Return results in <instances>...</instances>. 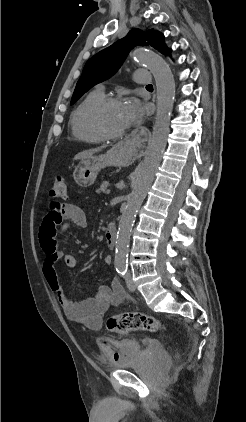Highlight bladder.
<instances>
[{"label": "bladder", "mask_w": 246, "mask_h": 422, "mask_svg": "<svg viewBox=\"0 0 246 422\" xmlns=\"http://www.w3.org/2000/svg\"><path fill=\"white\" fill-rule=\"evenodd\" d=\"M101 351L112 366L127 368L137 364L142 346L133 338L108 339L101 345ZM151 352L155 364L159 368L166 369L170 362L167 352L159 346L153 347Z\"/></svg>", "instance_id": "obj_1"}]
</instances>
